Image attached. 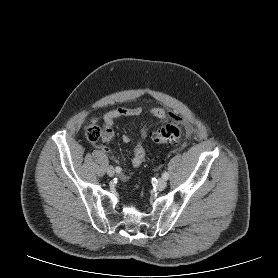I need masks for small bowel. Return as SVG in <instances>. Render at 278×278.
Instances as JSON below:
<instances>
[{
	"instance_id": "obj_1",
	"label": "small bowel",
	"mask_w": 278,
	"mask_h": 278,
	"mask_svg": "<svg viewBox=\"0 0 278 278\" xmlns=\"http://www.w3.org/2000/svg\"><path fill=\"white\" fill-rule=\"evenodd\" d=\"M143 110L141 107H131L125 108L120 107L108 111L103 116V131H102V144L100 145L101 149L109 154L111 157H114L108 145L112 142L114 138L113 125L116 119L121 117H137L142 114ZM150 113L157 119H164L167 116V113L162 108H152ZM143 135V134H142ZM122 140L124 143H129L131 138L129 135H123ZM145 149L141 143L138 141L133 149V155L131 159V164L133 167H139L145 159ZM128 175L123 174L122 179H127Z\"/></svg>"
}]
</instances>
